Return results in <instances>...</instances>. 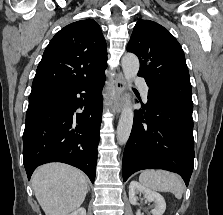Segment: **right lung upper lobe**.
Wrapping results in <instances>:
<instances>
[{"label":"right lung upper lobe","mask_w":223,"mask_h":215,"mask_svg":"<svg viewBox=\"0 0 223 215\" xmlns=\"http://www.w3.org/2000/svg\"><path fill=\"white\" fill-rule=\"evenodd\" d=\"M107 45L92 19L71 23L50 41L37 67L30 95L66 94L107 67Z\"/></svg>","instance_id":"cb5924a9"}]
</instances>
